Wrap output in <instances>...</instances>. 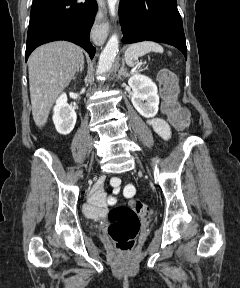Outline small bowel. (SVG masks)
<instances>
[{
  "instance_id": "c3829d8e",
  "label": "small bowel",
  "mask_w": 240,
  "mask_h": 288,
  "mask_svg": "<svg viewBox=\"0 0 240 288\" xmlns=\"http://www.w3.org/2000/svg\"><path fill=\"white\" fill-rule=\"evenodd\" d=\"M148 124L163 139H168L170 137V126L162 118H151L148 120ZM111 185L113 187V193L118 194L120 192V179L116 177L112 178ZM124 194L126 197H131L134 194V187L131 184H128L124 189ZM116 201L115 197L106 198V194L103 191V180L100 179L91 192L84 210L87 217L91 219L99 218L106 214L107 205H114Z\"/></svg>"
}]
</instances>
